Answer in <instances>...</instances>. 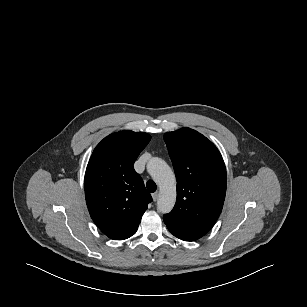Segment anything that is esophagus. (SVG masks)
Segmentation results:
<instances>
[{
	"label": "esophagus",
	"mask_w": 307,
	"mask_h": 307,
	"mask_svg": "<svg viewBox=\"0 0 307 307\" xmlns=\"http://www.w3.org/2000/svg\"><path fill=\"white\" fill-rule=\"evenodd\" d=\"M158 196H159L158 192L153 193L152 194L153 201H157Z\"/></svg>",
	"instance_id": "34e87169"
}]
</instances>
